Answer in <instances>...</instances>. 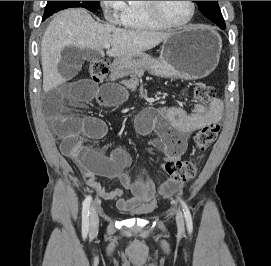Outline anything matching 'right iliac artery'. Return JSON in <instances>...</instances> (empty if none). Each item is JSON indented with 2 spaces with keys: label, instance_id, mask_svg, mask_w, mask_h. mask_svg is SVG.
I'll return each mask as SVG.
<instances>
[{
  "label": "right iliac artery",
  "instance_id": "1",
  "mask_svg": "<svg viewBox=\"0 0 271 266\" xmlns=\"http://www.w3.org/2000/svg\"><path fill=\"white\" fill-rule=\"evenodd\" d=\"M91 196H87L86 199L83 202V208H82V234L85 238L88 233L89 229V207L91 203Z\"/></svg>",
  "mask_w": 271,
  "mask_h": 266
}]
</instances>
